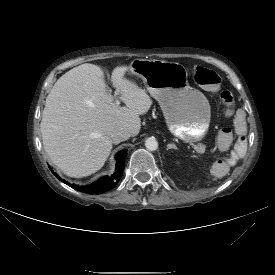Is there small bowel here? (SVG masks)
<instances>
[{
	"label": "small bowel",
	"mask_w": 275,
	"mask_h": 275,
	"mask_svg": "<svg viewBox=\"0 0 275 275\" xmlns=\"http://www.w3.org/2000/svg\"><path fill=\"white\" fill-rule=\"evenodd\" d=\"M234 131L236 134L246 133V117L241 109L234 112L233 117ZM212 145L220 151H223L211 164L208 173L216 181L222 180L230 171L236 170L240 165V156L229 148L233 145L234 137L229 129H217L211 137ZM229 149V150H228Z\"/></svg>",
	"instance_id": "small-bowel-1"
}]
</instances>
